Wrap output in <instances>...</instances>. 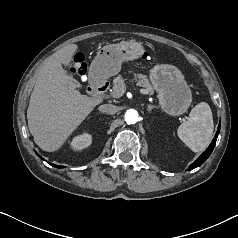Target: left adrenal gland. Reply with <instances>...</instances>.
I'll use <instances>...</instances> for the list:
<instances>
[{
	"instance_id": "left-adrenal-gland-1",
	"label": "left adrenal gland",
	"mask_w": 238,
	"mask_h": 238,
	"mask_svg": "<svg viewBox=\"0 0 238 238\" xmlns=\"http://www.w3.org/2000/svg\"><path fill=\"white\" fill-rule=\"evenodd\" d=\"M153 108H156V106L148 105V109H147V110H148L149 112H151V110H152Z\"/></svg>"
}]
</instances>
